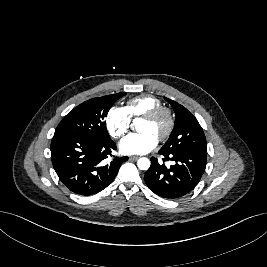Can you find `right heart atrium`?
Wrapping results in <instances>:
<instances>
[{"label": "right heart atrium", "mask_w": 267, "mask_h": 267, "mask_svg": "<svg viewBox=\"0 0 267 267\" xmlns=\"http://www.w3.org/2000/svg\"><path fill=\"white\" fill-rule=\"evenodd\" d=\"M105 125L114 138L122 137L131 126V118L123 107L112 106L105 117Z\"/></svg>", "instance_id": "right-heart-atrium-1"}]
</instances>
